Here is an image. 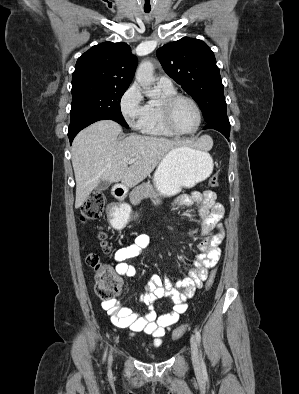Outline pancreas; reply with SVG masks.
<instances>
[{
	"mask_svg": "<svg viewBox=\"0 0 299 394\" xmlns=\"http://www.w3.org/2000/svg\"><path fill=\"white\" fill-rule=\"evenodd\" d=\"M134 195H139L141 198H157L159 196L150 182L143 183L137 187V189L132 193V197Z\"/></svg>",
	"mask_w": 299,
	"mask_h": 394,
	"instance_id": "pancreas-1",
	"label": "pancreas"
}]
</instances>
